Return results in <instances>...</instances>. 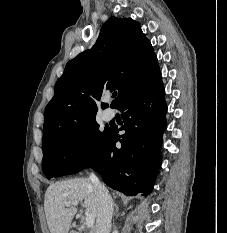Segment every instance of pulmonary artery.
<instances>
[{
  "mask_svg": "<svg viewBox=\"0 0 227 233\" xmlns=\"http://www.w3.org/2000/svg\"><path fill=\"white\" fill-rule=\"evenodd\" d=\"M113 115H114V114H113L112 111L107 110V111L105 112V114H104V117H105L106 120H110V119H112Z\"/></svg>",
  "mask_w": 227,
  "mask_h": 233,
  "instance_id": "obj_1",
  "label": "pulmonary artery"
}]
</instances>
